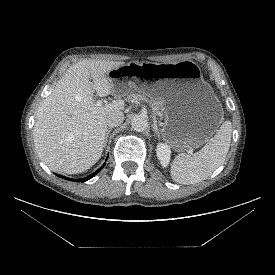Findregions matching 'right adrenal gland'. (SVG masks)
I'll list each match as a JSON object with an SVG mask.
<instances>
[{"mask_svg": "<svg viewBox=\"0 0 275 275\" xmlns=\"http://www.w3.org/2000/svg\"><path fill=\"white\" fill-rule=\"evenodd\" d=\"M110 131H111V129L107 130V132H106L105 145H106V143H107V141H108V137H109Z\"/></svg>", "mask_w": 275, "mask_h": 275, "instance_id": "obj_1", "label": "right adrenal gland"}]
</instances>
